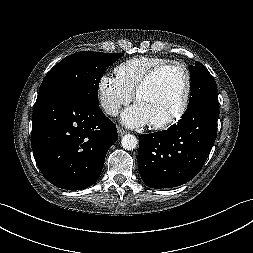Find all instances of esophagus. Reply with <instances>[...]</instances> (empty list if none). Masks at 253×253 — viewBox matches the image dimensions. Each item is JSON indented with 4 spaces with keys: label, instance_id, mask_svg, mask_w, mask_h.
<instances>
[{
    "label": "esophagus",
    "instance_id": "esophagus-1",
    "mask_svg": "<svg viewBox=\"0 0 253 253\" xmlns=\"http://www.w3.org/2000/svg\"><path fill=\"white\" fill-rule=\"evenodd\" d=\"M117 132H118V135L119 136H122V135H124L125 133H126V130H124L123 128H121V127H117Z\"/></svg>",
    "mask_w": 253,
    "mask_h": 253
}]
</instances>
